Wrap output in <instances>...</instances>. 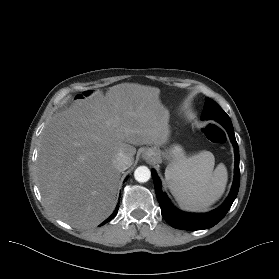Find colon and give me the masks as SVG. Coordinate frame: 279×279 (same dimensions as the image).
I'll use <instances>...</instances> for the list:
<instances>
[{
    "label": "colon",
    "instance_id": "1",
    "mask_svg": "<svg viewBox=\"0 0 279 279\" xmlns=\"http://www.w3.org/2000/svg\"><path fill=\"white\" fill-rule=\"evenodd\" d=\"M203 134L211 143L214 144H224L226 142V133L225 131L215 124L207 125L203 129Z\"/></svg>",
    "mask_w": 279,
    "mask_h": 279
}]
</instances>
